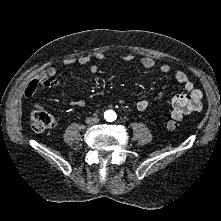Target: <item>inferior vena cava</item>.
<instances>
[{
	"instance_id": "602c4592",
	"label": "inferior vena cava",
	"mask_w": 221,
	"mask_h": 221,
	"mask_svg": "<svg viewBox=\"0 0 221 221\" xmlns=\"http://www.w3.org/2000/svg\"><path fill=\"white\" fill-rule=\"evenodd\" d=\"M96 122H98V118H87L86 119L87 124H94Z\"/></svg>"
}]
</instances>
